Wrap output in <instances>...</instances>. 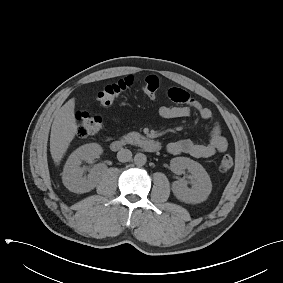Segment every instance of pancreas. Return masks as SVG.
Wrapping results in <instances>:
<instances>
[{
	"label": "pancreas",
	"mask_w": 283,
	"mask_h": 283,
	"mask_svg": "<svg viewBox=\"0 0 283 283\" xmlns=\"http://www.w3.org/2000/svg\"><path fill=\"white\" fill-rule=\"evenodd\" d=\"M142 136L137 132H131L127 135L123 136L121 141L122 143L134 144L136 143Z\"/></svg>",
	"instance_id": "1"
}]
</instances>
